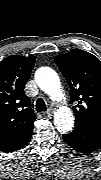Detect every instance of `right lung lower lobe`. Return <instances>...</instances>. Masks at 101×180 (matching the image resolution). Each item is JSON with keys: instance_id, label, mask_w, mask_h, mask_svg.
<instances>
[{"instance_id": "obj_1", "label": "right lung lower lobe", "mask_w": 101, "mask_h": 180, "mask_svg": "<svg viewBox=\"0 0 101 180\" xmlns=\"http://www.w3.org/2000/svg\"><path fill=\"white\" fill-rule=\"evenodd\" d=\"M31 135H32V134H31ZM31 135L29 136L28 139H26L23 143H21V144L19 145V147L17 148V150L20 149V148H22V147L25 146L26 144H28V142L30 141ZM15 151H16V150H15Z\"/></svg>"}]
</instances>
